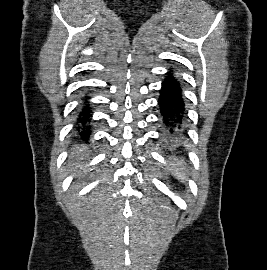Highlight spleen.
<instances>
[{"instance_id":"1","label":"spleen","mask_w":267,"mask_h":270,"mask_svg":"<svg viewBox=\"0 0 267 270\" xmlns=\"http://www.w3.org/2000/svg\"><path fill=\"white\" fill-rule=\"evenodd\" d=\"M178 164L181 165L180 162H178ZM174 174H175V176H176L178 179H180V180H185V174H184L182 168H177V167H175V168H174Z\"/></svg>"}]
</instances>
